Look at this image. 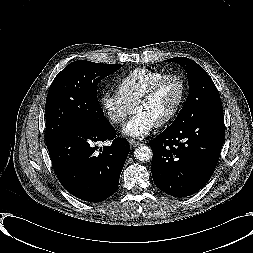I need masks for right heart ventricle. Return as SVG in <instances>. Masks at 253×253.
<instances>
[{"label":"right heart ventricle","mask_w":253,"mask_h":253,"mask_svg":"<svg viewBox=\"0 0 253 253\" xmlns=\"http://www.w3.org/2000/svg\"><path fill=\"white\" fill-rule=\"evenodd\" d=\"M166 72L158 69L136 68L117 81V92L132 106L146 91L152 82Z\"/></svg>","instance_id":"e07e8e85"}]
</instances>
